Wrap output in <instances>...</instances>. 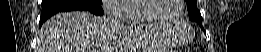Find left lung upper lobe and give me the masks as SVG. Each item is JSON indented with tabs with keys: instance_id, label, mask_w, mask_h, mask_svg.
<instances>
[{
	"instance_id": "5c2ea615",
	"label": "left lung upper lobe",
	"mask_w": 261,
	"mask_h": 52,
	"mask_svg": "<svg viewBox=\"0 0 261 52\" xmlns=\"http://www.w3.org/2000/svg\"><path fill=\"white\" fill-rule=\"evenodd\" d=\"M197 0H186L189 19L202 25V17L196 6Z\"/></svg>"
}]
</instances>
